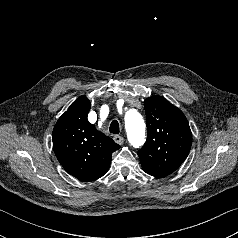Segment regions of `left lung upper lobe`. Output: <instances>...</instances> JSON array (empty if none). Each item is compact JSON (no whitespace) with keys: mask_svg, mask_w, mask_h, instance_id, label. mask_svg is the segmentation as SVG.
<instances>
[{"mask_svg":"<svg viewBox=\"0 0 238 238\" xmlns=\"http://www.w3.org/2000/svg\"><path fill=\"white\" fill-rule=\"evenodd\" d=\"M147 140L138 151L143 170L163 178L187 158L192 133L183 112L161 96H152L144 102Z\"/></svg>","mask_w":238,"mask_h":238,"instance_id":"obj_1","label":"left lung upper lobe"}]
</instances>
